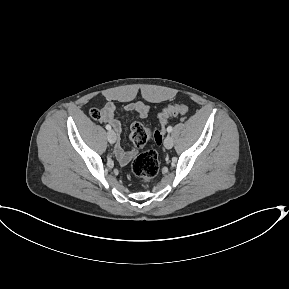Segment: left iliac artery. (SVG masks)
<instances>
[{
	"label": "left iliac artery",
	"mask_w": 289,
	"mask_h": 289,
	"mask_svg": "<svg viewBox=\"0 0 289 289\" xmlns=\"http://www.w3.org/2000/svg\"><path fill=\"white\" fill-rule=\"evenodd\" d=\"M173 130L172 126L167 127V131L171 132Z\"/></svg>",
	"instance_id": "left-iliac-artery-1"
}]
</instances>
